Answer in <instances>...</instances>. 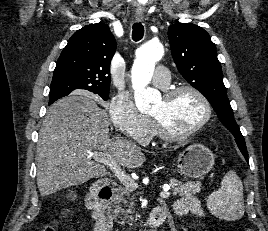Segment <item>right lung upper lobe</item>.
<instances>
[{"label": "right lung upper lobe", "instance_id": "obj_1", "mask_svg": "<svg viewBox=\"0 0 268 231\" xmlns=\"http://www.w3.org/2000/svg\"><path fill=\"white\" fill-rule=\"evenodd\" d=\"M116 40L107 24L87 25L75 32L63 49L54 70L51 88L93 93L109 91L110 63ZM66 95L53 96L49 105Z\"/></svg>", "mask_w": 268, "mask_h": 231}]
</instances>
